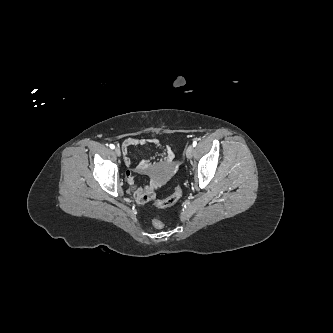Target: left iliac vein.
Returning a JSON list of instances; mask_svg holds the SVG:
<instances>
[{
	"mask_svg": "<svg viewBox=\"0 0 333 333\" xmlns=\"http://www.w3.org/2000/svg\"><path fill=\"white\" fill-rule=\"evenodd\" d=\"M194 148L192 145H189L186 149L187 158H191L193 156Z\"/></svg>",
	"mask_w": 333,
	"mask_h": 333,
	"instance_id": "obj_1",
	"label": "left iliac vein"
}]
</instances>
